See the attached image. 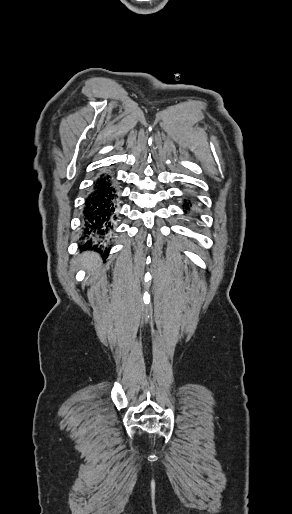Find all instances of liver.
<instances>
[{"label":"liver","instance_id":"liver-1","mask_svg":"<svg viewBox=\"0 0 292 514\" xmlns=\"http://www.w3.org/2000/svg\"><path fill=\"white\" fill-rule=\"evenodd\" d=\"M78 262L91 276L95 274V270H97L101 264L100 256L99 254H95V252H84V254L79 256Z\"/></svg>","mask_w":292,"mask_h":514}]
</instances>
